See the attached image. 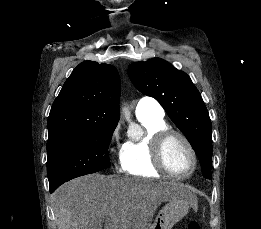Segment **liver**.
Listing matches in <instances>:
<instances>
[{
	"mask_svg": "<svg viewBox=\"0 0 261 229\" xmlns=\"http://www.w3.org/2000/svg\"><path fill=\"white\" fill-rule=\"evenodd\" d=\"M175 183H153L119 175H85L54 195L58 229H148L161 203L188 199Z\"/></svg>",
	"mask_w": 261,
	"mask_h": 229,
	"instance_id": "liver-1",
	"label": "liver"
}]
</instances>
